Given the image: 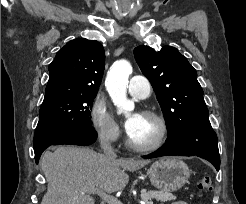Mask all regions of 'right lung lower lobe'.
Listing matches in <instances>:
<instances>
[{
	"label": "right lung lower lobe",
	"instance_id": "1",
	"mask_svg": "<svg viewBox=\"0 0 246 204\" xmlns=\"http://www.w3.org/2000/svg\"><path fill=\"white\" fill-rule=\"evenodd\" d=\"M97 138L96 131L91 129H76L74 131L68 132L63 136L57 139H49L37 142L34 144V152H35V161L38 163L39 158L42 152L51 145H60V144H72V145H81L86 146L95 142Z\"/></svg>",
	"mask_w": 246,
	"mask_h": 204
}]
</instances>
